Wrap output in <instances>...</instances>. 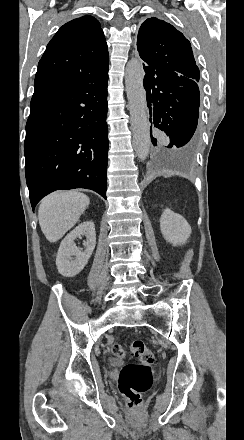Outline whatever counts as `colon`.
<instances>
[{"label":"colon","instance_id":"1","mask_svg":"<svg viewBox=\"0 0 244 440\" xmlns=\"http://www.w3.org/2000/svg\"><path fill=\"white\" fill-rule=\"evenodd\" d=\"M110 353L117 358H124L126 355L135 357L136 364L125 365L119 377V389L123 397L128 401L130 410H137L141 397L153 384V371L151 366L155 363V354L146 346L142 340L131 341L127 352L121 344L111 342L108 345Z\"/></svg>","mask_w":244,"mask_h":440}]
</instances>
